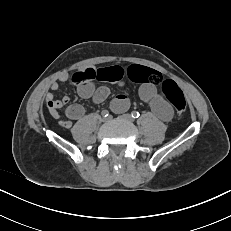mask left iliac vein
Returning a JSON list of instances; mask_svg holds the SVG:
<instances>
[{
    "instance_id": "obj_1",
    "label": "left iliac vein",
    "mask_w": 231,
    "mask_h": 231,
    "mask_svg": "<svg viewBox=\"0 0 231 231\" xmlns=\"http://www.w3.org/2000/svg\"><path fill=\"white\" fill-rule=\"evenodd\" d=\"M122 118H123L124 120L129 121V122H132V121H133V118H132V116H131L130 114H124V115H122Z\"/></svg>"
}]
</instances>
